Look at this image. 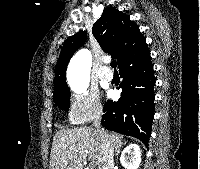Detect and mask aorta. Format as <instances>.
<instances>
[{
    "mask_svg": "<svg viewBox=\"0 0 200 169\" xmlns=\"http://www.w3.org/2000/svg\"><path fill=\"white\" fill-rule=\"evenodd\" d=\"M92 55L87 49L79 50L71 59L67 69V79L76 93L84 92L89 84Z\"/></svg>",
    "mask_w": 200,
    "mask_h": 169,
    "instance_id": "obj_1",
    "label": "aorta"
}]
</instances>
